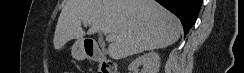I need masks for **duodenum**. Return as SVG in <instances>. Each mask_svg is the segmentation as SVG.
Returning a JSON list of instances; mask_svg holds the SVG:
<instances>
[{
	"mask_svg": "<svg viewBox=\"0 0 244 73\" xmlns=\"http://www.w3.org/2000/svg\"><path fill=\"white\" fill-rule=\"evenodd\" d=\"M84 51L86 57L90 60L96 61L100 64L99 73H115V66L113 63L109 62L105 56L103 48L98 43H88L84 44Z\"/></svg>",
	"mask_w": 244,
	"mask_h": 73,
	"instance_id": "1",
	"label": "duodenum"
}]
</instances>
